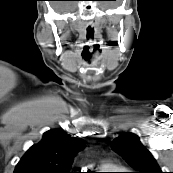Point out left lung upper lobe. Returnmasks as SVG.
Returning <instances> with one entry per match:
<instances>
[{"mask_svg":"<svg viewBox=\"0 0 173 173\" xmlns=\"http://www.w3.org/2000/svg\"><path fill=\"white\" fill-rule=\"evenodd\" d=\"M111 147L137 171L135 173H163L137 135L128 133L120 136L111 143Z\"/></svg>","mask_w":173,"mask_h":173,"instance_id":"obj_1","label":"left lung upper lobe"}]
</instances>
